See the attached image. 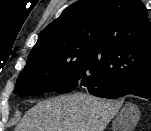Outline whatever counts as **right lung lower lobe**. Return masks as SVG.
I'll return each mask as SVG.
<instances>
[{
    "instance_id": "1",
    "label": "right lung lower lobe",
    "mask_w": 151,
    "mask_h": 131,
    "mask_svg": "<svg viewBox=\"0 0 151 131\" xmlns=\"http://www.w3.org/2000/svg\"><path fill=\"white\" fill-rule=\"evenodd\" d=\"M77 88H84L90 94L108 99H116L125 95H136L151 102V78L138 81H80Z\"/></svg>"
}]
</instances>
